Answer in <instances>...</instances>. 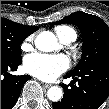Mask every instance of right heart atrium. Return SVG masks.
Returning a JSON list of instances; mask_svg holds the SVG:
<instances>
[{
	"mask_svg": "<svg viewBox=\"0 0 109 109\" xmlns=\"http://www.w3.org/2000/svg\"><path fill=\"white\" fill-rule=\"evenodd\" d=\"M33 47V39L32 37H27L22 43H21V49L23 51L31 50Z\"/></svg>",
	"mask_w": 109,
	"mask_h": 109,
	"instance_id": "right-heart-atrium-1",
	"label": "right heart atrium"
}]
</instances>
